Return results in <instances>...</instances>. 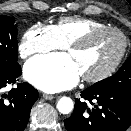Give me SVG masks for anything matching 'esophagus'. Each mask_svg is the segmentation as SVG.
<instances>
[{
    "label": "esophagus",
    "mask_w": 131,
    "mask_h": 131,
    "mask_svg": "<svg viewBox=\"0 0 131 131\" xmlns=\"http://www.w3.org/2000/svg\"><path fill=\"white\" fill-rule=\"evenodd\" d=\"M43 98L45 100H52L54 99L55 97L53 95H50V94H43Z\"/></svg>",
    "instance_id": "34e87169"
}]
</instances>
